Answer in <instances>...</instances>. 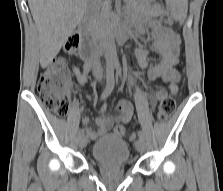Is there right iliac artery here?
Listing matches in <instances>:
<instances>
[{
    "label": "right iliac artery",
    "instance_id": "82829eb1",
    "mask_svg": "<svg viewBox=\"0 0 223 191\" xmlns=\"http://www.w3.org/2000/svg\"><path fill=\"white\" fill-rule=\"evenodd\" d=\"M106 87L102 93V98H106L114 88V69L113 67H107L106 69ZM83 134V130L79 131V135Z\"/></svg>",
    "mask_w": 223,
    "mask_h": 191
}]
</instances>
